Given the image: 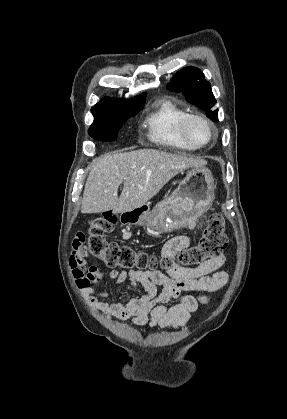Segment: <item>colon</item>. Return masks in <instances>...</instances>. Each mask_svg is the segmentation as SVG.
Segmentation results:
<instances>
[{
	"instance_id": "colon-1",
	"label": "colon",
	"mask_w": 287,
	"mask_h": 419,
	"mask_svg": "<svg viewBox=\"0 0 287 419\" xmlns=\"http://www.w3.org/2000/svg\"><path fill=\"white\" fill-rule=\"evenodd\" d=\"M118 216L113 211L91 219L85 233L76 239L86 243L89 255L101 259L108 267L123 270L156 271L159 267L170 269L173 265L197 268L220 256L228 246L223 217L218 213L209 216L205 231L199 241L173 257L157 259L130 246L109 242L106 234L116 224Z\"/></svg>"
}]
</instances>
